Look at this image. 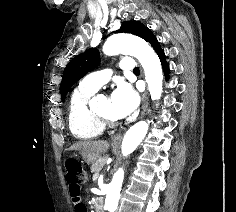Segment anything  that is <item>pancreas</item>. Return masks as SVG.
I'll return each instance as SVG.
<instances>
[{"instance_id":"cf45deb5","label":"pancreas","mask_w":236,"mask_h":212,"mask_svg":"<svg viewBox=\"0 0 236 212\" xmlns=\"http://www.w3.org/2000/svg\"><path fill=\"white\" fill-rule=\"evenodd\" d=\"M105 164V160L104 159H98L97 161H95L92 166H91V172L93 173V177L94 176H99V172L101 171L102 167ZM93 181H96V179H93Z\"/></svg>"}]
</instances>
